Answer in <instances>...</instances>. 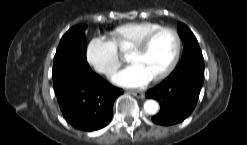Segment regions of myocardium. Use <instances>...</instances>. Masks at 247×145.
I'll use <instances>...</instances> for the list:
<instances>
[{"mask_svg":"<svg viewBox=\"0 0 247 145\" xmlns=\"http://www.w3.org/2000/svg\"><path fill=\"white\" fill-rule=\"evenodd\" d=\"M170 32L174 38H175V51L174 54L170 60V62L160 71L158 72L155 76L152 77L151 80L157 81L165 76H167L173 68L176 66L180 54H181V49H182V40L180 37V34L178 31L170 26H161L150 33H148L146 36H144L137 44H135L132 48L131 51H136V52H143L145 51L148 46L150 45L151 41L161 32Z\"/></svg>","mask_w":247,"mask_h":145,"instance_id":"obj_1","label":"myocardium"}]
</instances>
